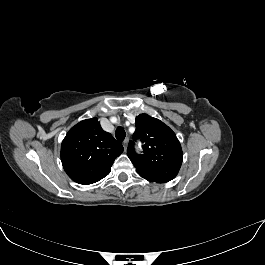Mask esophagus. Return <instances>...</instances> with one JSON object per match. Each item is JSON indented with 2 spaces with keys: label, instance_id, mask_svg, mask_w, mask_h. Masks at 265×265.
Wrapping results in <instances>:
<instances>
[{
  "label": "esophagus",
  "instance_id": "1",
  "mask_svg": "<svg viewBox=\"0 0 265 265\" xmlns=\"http://www.w3.org/2000/svg\"><path fill=\"white\" fill-rule=\"evenodd\" d=\"M128 141H129L128 138H126V139L123 141V146H124L125 151L127 150Z\"/></svg>",
  "mask_w": 265,
  "mask_h": 265
}]
</instances>
